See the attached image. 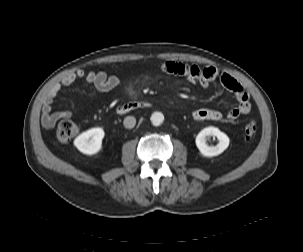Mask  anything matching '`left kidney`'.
<instances>
[{
  "mask_svg": "<svg viewBox=\"0 0 303 252\" xmlns=\"http://www.w3.org/2000/svg\"><path fill=\"white\" fill-rule=\"evenodd\" d=\"M207 136H215L219 140V143L216 146H208L206 144ZM196 146L201 152L202 155L206 157H213L221 154L229 146L228 136L221 132L218 128L210 126L201 130L195 139Z\"/></svg>",
  "mask_w": 303,
  "mask_h": 252,
  "instance_id": "1",
  "label": "left kidney"
}]
</instances>
